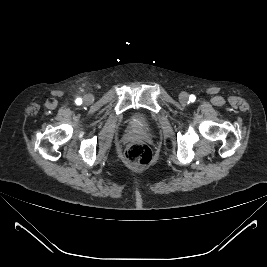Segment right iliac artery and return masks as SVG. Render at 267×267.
I'll list each match as a JSON object with an SVG mask.
<instances>
[{"label": "right iliac artery", "mask_w": 267, "mask_h": 267, "mask_svg": "<svg viewBox=\"0 0 267 267\" xmlns=\"http://www.w3.org/2000/svg\"><path fill=\"white\" fill-rule=\"evenodd\" d=\"M81 103H82L81 98H77V99H76V104L80 105Z\"/></svg>", "instance_id": "82829eb1"}]
</instances>
